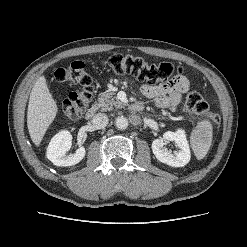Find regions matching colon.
I'll use <instances>...</instances> for the list:
<instances>
[{"label":"colon","mask_w":247,"mask_h":247,"mask_svg":"<svg viewBox=\"0 0 247 247\" xmlns=\"http://www.w3.org/2000/svg\"><path fill=\"white\" fill-rule=\"evenodd\" d=\"M103 66L116 75L131 74L139 80L149 83L162 82L174 73H181L182 68L171 63H149L144 58L133 55H114L103 60ZM59 83L79 85L80 88L71 92L61 103V111L69 118H78L88 107L94 91L93 79L86 65L81 61L57 69L54 73ZM186 106L196 115L207 116L213 125L220 123V116L209 110L208 103L198 92H189Z\"/></svg>","instance_id":"obj_1"}]
</instances>
